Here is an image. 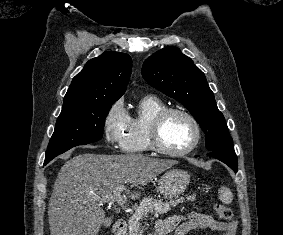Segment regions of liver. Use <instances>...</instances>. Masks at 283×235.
I'll return each instance as SVG.
<instances>
[{
  "label": "liver",
  "instance_id": "liver-1",
  "mask_svg": "<svg viewBox=\"0 0 283 235\" xmlns=\"http://www.w3.org/2000/svg\"><path fill=\"white\" fill-rule=\"evenodd\" d=\"M176 164L141 154L74 156L61 167L54 184L48 207L50 235H97L106 220L100 198L126 183L141 189ZM124 189L129 198L140 197V192Z\"/></svg>",
  "mask_w": 283,
  "mask_h": 235
}]
</instances>
